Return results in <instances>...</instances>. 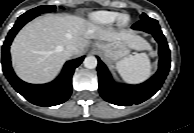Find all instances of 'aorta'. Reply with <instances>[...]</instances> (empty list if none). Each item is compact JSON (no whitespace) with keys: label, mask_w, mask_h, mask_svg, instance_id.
<instances>
[{"label":"aorta","mask_w":194,"mask_h":133,"mask_svg":"<svg viewBox=\"0 0 194 133\" xmlns=\"http://www.w3.org/2000/svg\"><path fill=\"white\" fill-rule=\"evenodd\" d=\"M84 66L87 69H94L97 66V59L94 56H88L84 59Z\"/></svg>","instance_id":"762f6f07"}]
</instances>
